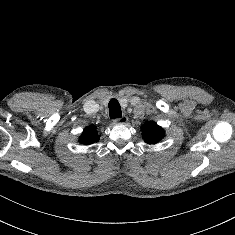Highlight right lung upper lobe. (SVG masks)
Here are the masks:
<instances>
[{"label": "right lung upper lobe", "instance_id": "obj_1", "mask_svg": "<svg viewBox=\"0 0 235 235\" xmlns=\"http://www.w3.org/2000/svg\"><path fill=\"white\" fill-rule=\"evenodd\" d=\"M81 144H92L94 142H98L99 141V135L98 132L96 130V126L94 125H90L88 127H86L79 139Z\"/></svg>", "mask_w": 235, "mask_h": 235}]
</instances>
